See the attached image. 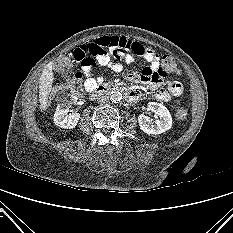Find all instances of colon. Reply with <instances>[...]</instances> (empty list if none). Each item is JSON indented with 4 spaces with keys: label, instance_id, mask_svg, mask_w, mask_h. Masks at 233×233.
Listing matches in <instances>:
<instances>
[{
    "label": "colon",
    "instance_id": "obj_1",
    "mask_svg": "<svg viewBox=\"0 0 233 233\" xmlns=\"http://www.w3.org/2000/svg\"><path fill=\"white\" fill-rule=\"evenodd\" d=\"M61 62V64H64L66 59H61ZM160 73L162 75L178 74L180 73V68L174 58L165 55L162 57ZM63 91L77 96L80 95L83 91L81 73H77L74 77L61 81L54 93L58 94ZM175 115L179 120H185L188 117V110L182 103H176Z\"/></svg>",
    "mask_w": 233,
    "mask_h": 233
}]
</instances>
